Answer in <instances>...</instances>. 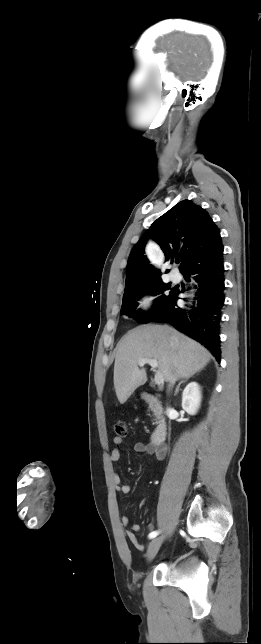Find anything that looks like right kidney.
<instances>
[{"label":"right kidney","instance_id":"ca27d5eb","mask_svg":"<svg viewBox=\"0 0 261 644\" xmlns=\"http://www.w3.org/2000/svg\"><path fill=\"white\" fill-rule=\"evenodd\" d=\"M201 391L196 382L189 383L182 393V408L190 415H195L200 407Z\"/></svg>","mask_w":261,"mask_h":644}]
</instances>
